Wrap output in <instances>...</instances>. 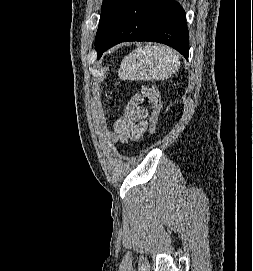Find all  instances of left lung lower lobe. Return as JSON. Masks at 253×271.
Segmentation results:
<instances>
[{
    "mask_svg": "<svg viewBox=\"0 0 253 271\" xmlns=\"http://www.w3.org/2000/svg\"><path fill=\"white\" fill-rule=\"evenodd\" d=\"M125 41L160 42L188 59L189 34L183 8L175 0H130L98 58L104 51Z\"/></svg>",
    "mask_w": 253,
    "mask_h": 271,
    "instance_id": "1",
    "label": "left lung lower lobe"
}]
</instances>
